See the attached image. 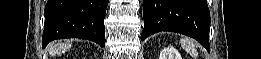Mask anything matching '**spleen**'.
<instances>
[{"instance_id": "3e777b00", "label": "spleen", "mask_w": 261, "mask_h": 59, "mask_svg": "<svg viewBox=\"0 0 261 59\" xmlns=\"http://www.w3.org/2000/svg\"><path fill=\"white\" fill-rule=\"evenodd\" d=\"M180 43H181L182 48L187 53H189L192 57L196 58L198 56V52L195 48V44L191 40L184 38V39L180 40Z\"/></svg>"}]
</instances>
